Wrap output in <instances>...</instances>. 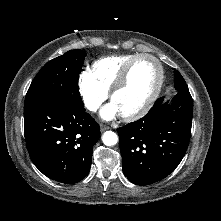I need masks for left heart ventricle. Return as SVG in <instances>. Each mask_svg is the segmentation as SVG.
I'll return each instance as SVG.
<instances>
[{"instance_id": "obj_1", "label": "left heart ventricle", "mask_w": 221, "mask_h": 221, "mask_svg": "<svg viewBox=\"0 0 221 221\" xmlns=\"http://www.w3.org/2000/svg\"><path fill=\"white\" fill-rule=\"evenodd\" d=\"M157 65L150 59L139 60L131 69L123 88L118 91L112 102L121 114L139 110L148 100L158 82Z\"/></svg>"}]
</instances>
